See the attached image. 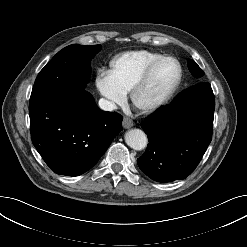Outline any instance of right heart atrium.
<instances>
[{
    "label": "right heart atrium",
    "mask_w": 247,
    "mask_h": 247,
    "mask_svg": "<svg viewBox=\"0 0 247 247\" xmlns=\"http://www.w3.org/2000/svg\"><path fill=\"white\" fill-rule=\"evenodd\" d=\"M95 85L99 94L110 107L121 104L126 99V92L115 82L109 70H98Z\"/></svg>",
    "instance_id": "1"
}]
</instances>
